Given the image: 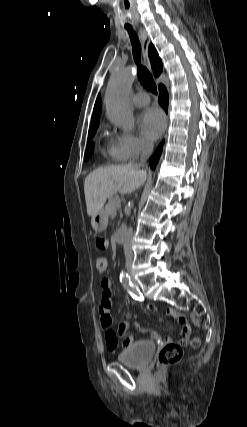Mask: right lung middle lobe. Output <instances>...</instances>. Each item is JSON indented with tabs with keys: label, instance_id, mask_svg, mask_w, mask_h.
<instances>
[{
	"label": "right lung middle lobe",
	"instance_id": "dd1d6c3e",
	"mask_svg": "<svg viewBox=\"0 0 247 427\" xmlns=\"http://www.w3.org/2000/svg\"><path fill=\"white\" fill-rule=\"evenodd\" d=\"M97 128H98V125L90 127V129H89V137L90 138H92L95 135ZM93 151H94V143H92L88 139L87 148H86V151H85V160H87L88 158L91 157V155L93 154Z\"/></svg>",
	"mask_w": 247,
	"mask_h": 427
}]
</instances>
